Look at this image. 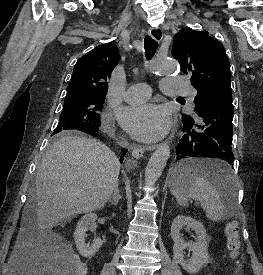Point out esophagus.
<instances>
[{"label": "esophagus", "mask_w": 263, "mask_h": 275, "mask_svg": "<svg viewBox=\"0 0 263 275\" xmlns=\"http://www.w3.org/2000/svg\"><path fill=\"white\" fill-rule=\"evenodd\" d=\"M149 35L156 41L160 42L163 38V32L160 28H149ZM158 145H150V146H141V145H133L132 147V156L136 159H140L143 157L144 150H153L157 148Z\"/></svg>", "instance_id": "obj_1"}]
</instances>
